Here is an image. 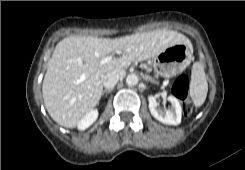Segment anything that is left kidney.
Returning a JSON list of instances; mask_svg holds the SVG:
<instances>
[{
    "instance_id": "5707ae66",
    "label": "left kidney",
    "mask_w": 245,
    "mask_h": 170,
    "mask_svg": "<svg viewBox=\"0 0 245 170\" xmlns=\"http://www.w3.org/2000/svg\"><path fill=\"white\" fill-rule=\"evenodd\" d=\"M149 110L152 116L158 121L168 125H179L182 118V108L179 100L174 96H169L168 101L171 103L170 110H161L158 108L156 98L152 95L148 97Z\"/></svg>"
}]
</instances>
